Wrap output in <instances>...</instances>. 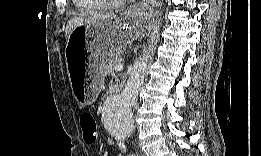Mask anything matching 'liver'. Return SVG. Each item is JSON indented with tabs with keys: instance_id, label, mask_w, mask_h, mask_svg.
Instances as JSON below:
<instances>
[{
	"instance_id": "1",
	"label": "liver",
	"mask_w": 261,
	"mask_h": 156,
	"mask_svg": "<svg viewBox=\"0 0 261 156\" xmlns=\"http://www.w3.org/2000/svg\"><path fill=\"white\" fill-rule=\"evenodd\" d=\"M116 18H117L116 14L113 12L93 13V14L75 16L71 18L66 25V29H65L66 41H68L71 32L78 27H81L83 25L91 27L94 25L107 23L112 19H116Z\"/></svg>"
}]
</instances>
